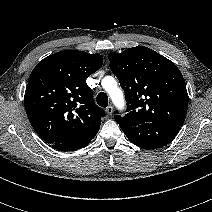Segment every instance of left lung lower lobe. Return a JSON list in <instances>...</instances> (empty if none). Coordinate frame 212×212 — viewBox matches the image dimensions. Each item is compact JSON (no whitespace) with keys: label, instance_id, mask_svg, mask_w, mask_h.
<instances>
[{"label":"left lung lower lobe","instance_id":"1","mask_svg":"<svg viewBox=\"0 0 212 212\" xmlns=\"http://www.w3.org/2000/svg\"><path fill=\"white\" fill-rule=\"evenodd\" d=\"M180 126L162 122L141 123L123 129V132L133 144L145 149H157L170 143Z\"/></svg>","mask_w":212,"mask_h":212}]
</instances>
